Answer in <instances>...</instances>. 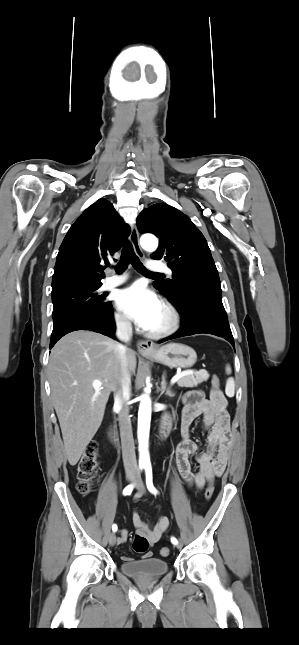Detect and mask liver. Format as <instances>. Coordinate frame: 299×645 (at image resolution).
<instances>
[{
	"mask_svg": "<svg viewBox=\"0 0 299 645\" xmlns=\"http://www.w3.org/2000/svg\"><path fill=\"white\" fill-rule=\"evenodd\" d=\"M117 342L99 333L74 331L52 348L48 364L51 397L70 465L79 461L99 429L111 391L121 387ZM130 376L136 353L127 351ZM94 380L102 386L95 389Z\"/></svg>",
	"mask_w": 299,
	"mask_h": 645,
	"instance_id": "liver-1",
	"label": "liver"
}]
</instances>
